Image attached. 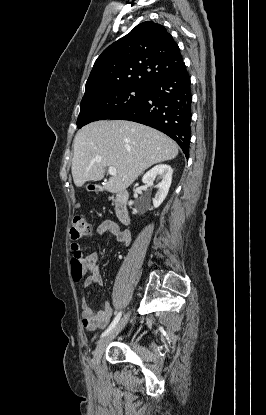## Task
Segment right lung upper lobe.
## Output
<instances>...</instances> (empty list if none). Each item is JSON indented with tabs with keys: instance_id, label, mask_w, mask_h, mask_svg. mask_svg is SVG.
<instances>
[{
	"instance_id": "cb5924a9",
	"label": "right lung upper lobe",
	"mask_w": 266,
	"mask_h": 415,
	"mask_svg": "<svg viewBox=\"0 0 266 415\" xmlns=\"http://www.w3.org/2000/svg\"><path fill=\"white\" fill-rule=\"evenodd\" d=\"M183 67L179 47L171 34L164 26L146 21L97 58L83 98L122 86L148 88Z\"/></svg>"
}]
</instances>
